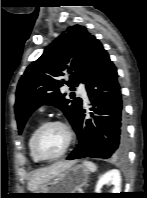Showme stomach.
<instances>
[{
    "label": "stomach",
    "instance_id": "0dacf381",
    "mask_svg": "<svg viewBox=\"0 0 147 198\" xmlns=\"http://www.w3.org/2000/svg\"><path fill=\"white\" fill-rule=\"evenodd\" d=\"M88 177L89 169L85 165H72L32 192L33 197L59 198L63 197V194L50 193H75L87 184Z\"/></svg>",
    "mask_w": 147,
    "mask_h": 198
}]
</instances>
